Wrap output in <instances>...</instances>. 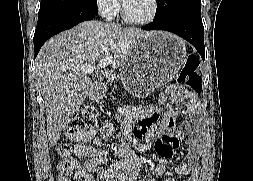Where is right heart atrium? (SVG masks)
<instances>
[{
    "mask_svg": "<svg viewBox=\"0 0 253 181\" xmlns=\"http://www.w3.org/2000/svg\"><path fill=\"white\" fill-rule=\"evenodd\" d=\"M95 5L98 13L107 20L114 19L120 10L118 0H95Z\"/></svg>",
    "mask_w": 253,
    "mask_h": 181,
    "instance_id": "d8ad5b80",
    "label": "right heart atrium"
}]
</instances>
